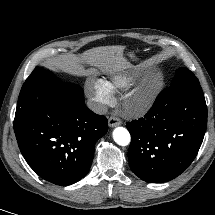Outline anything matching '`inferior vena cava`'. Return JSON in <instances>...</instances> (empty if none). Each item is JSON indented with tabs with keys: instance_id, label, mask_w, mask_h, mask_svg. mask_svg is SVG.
<instances>
[{
	"instance_id": "602c4592",
	"label": "inferior vena cava",
	"mask_w": 215,
	"mask_h": 215,
	"mask_svg": "<svg viewBox=\"0 0 215 215\" xmlns=\"http://www.w3.org/2000/svg\"><path fill=\"white\" fill-rule=\"evenodd\" d=\"M88 107L93 110L95 113L98 114H106L108 111V108L106 105L100 104V103H96L92 100L88 101Z\"/></svg>"
}]
</instances>
